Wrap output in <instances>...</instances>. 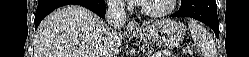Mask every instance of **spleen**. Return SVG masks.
I'll return each mask as SVG.
<instances>
[{"mask_svg":"<svg viewBox=\"0 0 249 57\" xmlns=\"http://www.w3.org/2000/svg\"><path fill=\"white\" fill-rule=\"evenodd\" d=\"M194 42L204 51L205 57H216L211 46V36L207 30L195 20L188 23Z\"/></svg>","mask_w":249,"mask_h":57,"instance_id":"3e777b00","label":"spleen"}]
</instances>
